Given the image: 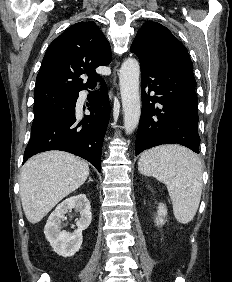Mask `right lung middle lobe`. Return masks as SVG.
Instances as JSON below:
<instances>
[{
  "label": "right lung middle lobe",
  "instance_id": "obj_1",
  "mask_svg": "<svg viewBox=\"0 0 232 282\" xmlns=\"http://www.w3.org/2000/svg\"><path fill=\"white\" fill-rule=\"evenodd\" d=\"M75 95L54 90L34 92V120L39 122L69 105Z\"/></svg>",
  "mask_w": 232,
  "mask_h": 282
}]
</instances>
